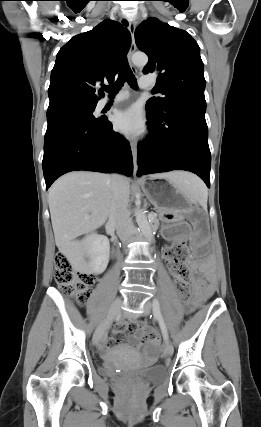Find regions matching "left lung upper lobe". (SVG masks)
I'll use <instances>...</instances> for the list:
<instances>
[{
	"label": "left lung upper lobe",
	"mask_w": 261,
	"mask_h": 427,
	"mask_svg": "<svg viewBox=\"0 0 261 427\" xmlns=\"http://www.w3.org/2000/svg\"><path fill=\"white\" fill-rule=\"evenodd\" d=\"M135 40L139 50L149 56L143 72L157 74V90L165 95L149 99L146 107L162 113L178 100L205 102L200 48L190 34L151 17L136 28Z\"/></svg>",
	"instance_id": "1"
}]
</instances>
